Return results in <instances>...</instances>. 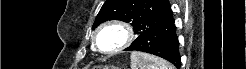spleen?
I'll return each mask as SVG.
<instances>
[{"label":"spleen","instance_id":"spleen-1","mask_svg":"<svg viewBox=\"0 0 246 69\" xmlns=\"http://www.w3.org/2000/svg\"><path fill=\"white\" fill-rule=\"evenodd\" d=\"M130 60L131 69H175L168 61L143 52L133 51Z\"/></svg>","mask_w":246,"mask_h":69}]
</instances>
